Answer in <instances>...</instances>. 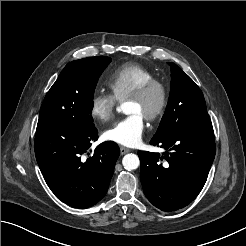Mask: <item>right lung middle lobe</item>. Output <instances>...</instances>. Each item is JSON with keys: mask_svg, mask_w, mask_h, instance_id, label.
Returning a JSON list of instances; mask_svg holds the SVG:
<instances>
[{"mask_svg": "<svg viewBox=\"0 0 246 246\" xmlns=\"http://www.w3.org/2000/svg\"><path fill=\"white\" fill-rule=\"evenodd\" d=\"M111 58L96 56L68 63L42 103L38 125L90 129L97 81Z\"/></svg>", "mask_w": 246, "mask_h": 246, "instance_id": "1", "label": "right lung middle lobe"}]
</instances>
